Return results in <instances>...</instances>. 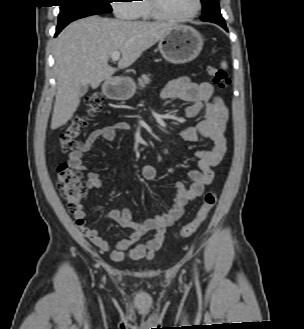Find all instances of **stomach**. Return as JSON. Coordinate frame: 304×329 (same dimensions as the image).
I'll use <instances>...</instances> for the list:
<instances>
[{
	"label": "stomach",
	"instance_id": "obj_1",
	"mask_svg": "<svg viewBox=\"0 0 304 329\" xmlns=\"http://www.w3.org/2000/svg\"><path fill=\"white\" fill-rule=\"evenodd\" d=\"M203 41L201 34L194 28L176 25L159 40L158 48L166 61L182 64L192 61L199 55ZM102 90L110 99L127 100L133 96L135 84L130 78H118L107 81Z\"/></svg>",
	"mask_w": 304,
	"mask_h": 329
}]
</instances>
